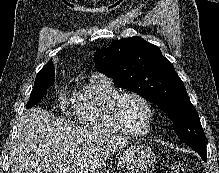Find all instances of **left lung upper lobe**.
I'll use <instances>...</instances> for the list:
<instances>
[{
	"mask_svg": "<svg viewBox=\"0 0 219 173\" xmlns=\"http://www.w3.org/2000/svg\"><path fill=\"white\" fill-rule=\"evenodd\" d=\"M96 69L115 84L140 94L168 114L181 141L206 151L199 115L173 65L141 37L113 41L94 54Z\"/></svg>",
	"mask_w": 219,
	"mask_h": 173,
	"instance_id": "obj_1",
	"label": "left lung upper lobe"
}]
</instances>
